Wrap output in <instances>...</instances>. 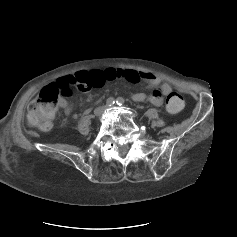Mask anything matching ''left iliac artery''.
<instances>
[{"instance_id": "44dca946", "label": "left iliac artery", "mask_w": 237, "mask_h": 237, "mask_svg": "<svg viewBox=\"0 0 237 237\" xmlns=\"http://www.w3.org/2000/svg\"><path fill=\"white\" fill-rule=\"evenodd\" d=\"M116 103H117V105L121 106L122 104H124V99L122 97H118L116 100Z\"/></svg>"}]
</instances>
